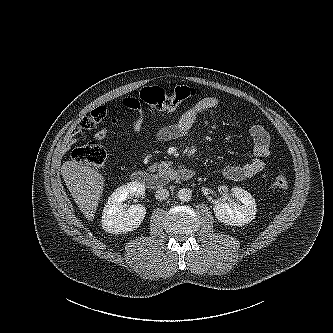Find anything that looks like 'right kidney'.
<instances>
[{"label": "right kidney", "instance_id": "obj_1", "mask_svg": "<svg viewBox=\"0 0 333 333\" xmlns=\"http://www.w3.org/2000/svg\"><path fill=\"white\" fill-rule=\"evenodd\" d=\"M145 186L130 182L117 188L108 198L102 213V227L108 233L124 234L138 228L146 215V208L132 205L125 208L123 201L132 196L144 195Z\"/></svg>", "mask_w": 333, "mask_h": 333}]
</instances>
